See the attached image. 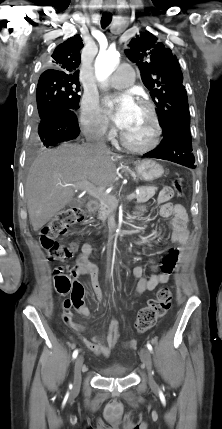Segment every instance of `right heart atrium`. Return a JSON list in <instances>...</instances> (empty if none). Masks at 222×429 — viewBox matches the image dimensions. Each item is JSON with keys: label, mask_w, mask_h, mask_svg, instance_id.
<instances>
[{"label": "right heart atrium", "mask_w": 222, "mask_h": 429, "mask_svg": "<svg viewBox=\"0 0 222 429\" xmlns=\"http://www.w3.org/2000/svg\"><path fill=\"white\" fill-rule=\"evenodd\" d=\"M80 125L83 132L91 137L104 138L110 133V124L104 115L98 99L84 95L80 103Z\"/></svg>", "instance_id": "right-heart-atrium-1"}]
</instances>
